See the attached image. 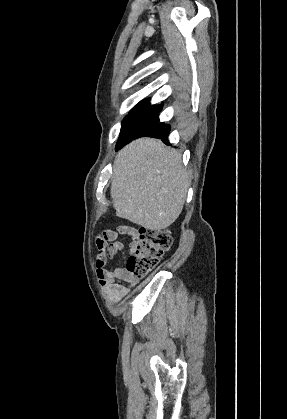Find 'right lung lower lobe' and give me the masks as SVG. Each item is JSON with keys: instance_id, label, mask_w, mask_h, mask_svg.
I'll return each instance as SVG.
<instances>
[{"instance_id": "obj_1", "label": "right lung lower lobe", "mask_w": 287, "mask_h": 419, "mask_svg": "<svg viewBox=\"0 0 287 419\" xmlns=\"http://www.w3.org/2000/svg\"><path fill=\"white\" fill-rule=\"evenodd\" d=\"M169 133H170V126L160 123L158 120L152 126H150L145 132L141 133L136 138L143 137V136L154 137V138L161 139L164 143L168 144L167 138L169 136Z\"/></svg>"}]
</instances>
